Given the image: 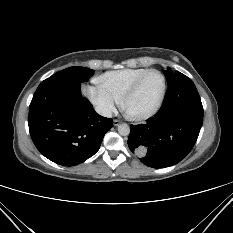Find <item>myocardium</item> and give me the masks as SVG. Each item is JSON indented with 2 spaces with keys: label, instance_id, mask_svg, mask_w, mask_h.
<instances>
[{
  "label": "myocardium",
  "instance_id": "obj_1",
  "mask_svg": "<svg viewBox=\"0 0 233 233\" xmlns=\"http://www.w3.org/2000/svg\"><path fill=\"white\" fill-rule=\"evenodd\" d=\"M151 73L159 74L161 79H162V90H161V94H160V97H159L157 103L155 104V106L152 109H150L149 111L142 113V114H134V113L129 112L127 109V103L129 101V99L138 91V89H139L141 83L143 82V80L145 79V77ZM166 91H167V81H166L165 75L157 69H148L147 71L142 73L133 82V84L125 91V93L121 97V108H122L124 114L132 120H135V121L146 120V119L154 116L159 111V109L161 108L163 101L165 99Z\"/></svg>",
  "mask_w": 233,
  "mask_h": 233
}]
</instances>
